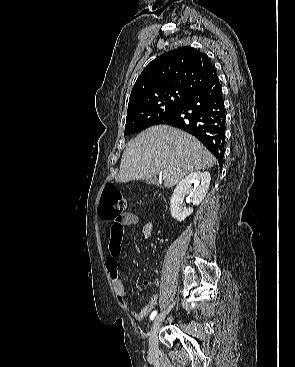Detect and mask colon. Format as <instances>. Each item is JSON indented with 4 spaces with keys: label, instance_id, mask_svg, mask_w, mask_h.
Here are the masks:
<instances>
[{
    "label": "colon",
    "instance_id": "colon-1",
    "mask_svg": "<svg viewBox=\"0 0 295 367\" xmlns=\"http://www.w3.org/2000/svg\"><path fill=\"white\" fill-rule=\"evenodd\" d=\"M126 208V200L118 187L107 184L101 198V215L103 218L118 221Z\"/></svg>",
    "mask_w": 295,
    "mask_h": 367
}]
</instances>
